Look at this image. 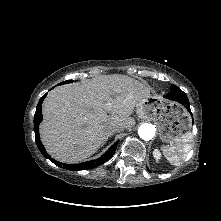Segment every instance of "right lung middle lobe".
Masks as SVG:
<instances>
[{"label": "right lung middle lobe", "instance_id": "dd1d6c3e", "mask_svg": "<svg viewBox=\"0 0 221 221\" xmlns=\"http://www.w3.org/2000/svg\"><path fill=\"white\" fill-rule=\"evenodd\" d=\"M71 82H72V80H68V81H64V82L60 83L59 85L66 84V83H71Z\"/></svg>", "mask_w": 221, "mask_h": 221}]
</instances>
